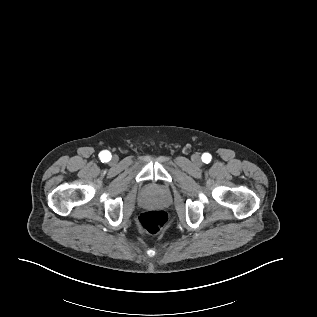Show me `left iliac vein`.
I'll use <instances>...</instances> for the list:
<instances>
[{
    "label": "left iliac vein",
    "mask_w": 317,
    "mask_h": 317,
    "mask_svg": "<svg viewBox=\"0 0 317 317\" xmlns=\"http://www.w3.org/2000/svg\"><path fill=\"white\" fill-rule=\"evenodd\" d=\"M192 160H193V162L195 163V164H199L200 163V156L198 155V154H194L193 156H192Z\"/></svg>",
    "instance_id": "4c4485c4"
}]
</instances>
